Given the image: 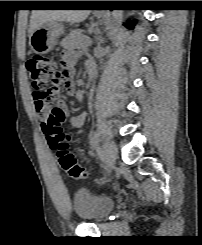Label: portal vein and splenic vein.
Here are the masks:
<instances>
[{
  "label": "portal vein and splenic vein",
  "mask_w": 202,
  "mask_h": 245,
  "mask_svg": "<svg viewBox=\"0 0 202 245\" xmlns=\"http://www.w3.org/2000/svg\"><path fill=\"white\" fill-rule=\"evenodd\" d=\"M86 42H87L88 44H91V40H90L89 38L86 39Z\"/></svg>",
  "instance_id": "portal-vein-and-splenic-vein-1"
}]
</instances>
